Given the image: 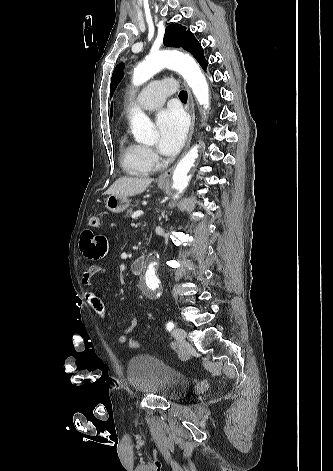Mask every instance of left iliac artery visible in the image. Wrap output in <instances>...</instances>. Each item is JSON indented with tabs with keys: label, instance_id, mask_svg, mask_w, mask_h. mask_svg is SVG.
<instances>
[{
	"label": "left iliac artery",
	"instance_id": "left-iliac-artery-1",
	"mask_svg": "<svg viewBox=\"0 0 333 471\" xmlns=\"http://www.w3.org/2000/svg\"><path fill=\"white\" fill-rule=\"evenodd\" d=\"M174 326H175V324L172 321H170L166 324V329L168 331H171L174 328Z\"/></svg>",
	"mask_w": 333,
	"mask_h": 471
}]
</instances>
